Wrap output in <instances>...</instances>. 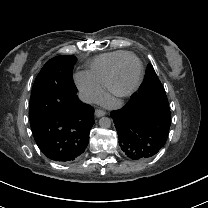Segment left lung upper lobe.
<instances>
[{
    "label": "left lung upper lobe",
    "instance_id": "left-lung-upper-lobe-1",
    "mask_svg": "<svg viewBox=\"0 0 208 208\" xmlns=\"http://www.w3.org/2000/svg\"><path fill=\"white\" fill-rule=\"evenodd\" d=\"M130 99L160 104L169 109L165 89L158 79L152 65L148 67L144 85L141 86L136 93L131 95Z\"/></svg>",
    "mask_w": 208,
    "mask_h": 208
}]
</instances>
